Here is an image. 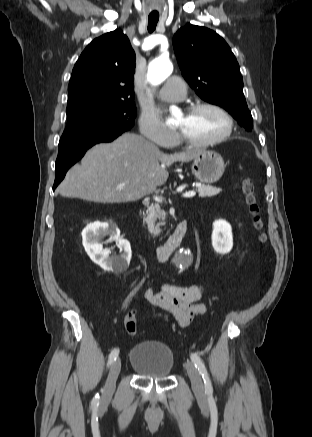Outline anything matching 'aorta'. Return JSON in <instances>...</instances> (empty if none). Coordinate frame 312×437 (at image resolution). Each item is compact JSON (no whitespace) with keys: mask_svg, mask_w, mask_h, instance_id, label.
Here are the masks:
<instances>
[{"mask_svg":"<svg viewBox=\"0 0 312 437\" xmlns=\"http://www.w3.org/2000/svg\"><path fill=\"white\" fill-rule=\"evenodd\" d=\"M173 71L171 62L167 59L157 58L148 66L147 80L152 86L161 84Z\"/></svg>","mask_w":312,"mask_h":437,"instance_id":"1","label":"aorta"}]
</instances>
